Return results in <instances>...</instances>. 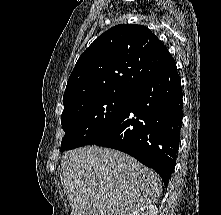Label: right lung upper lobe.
<instances>
[{"label":"right lung upper lobe","instance_id":"obj_1","mask_svg":"<svg viewBox=\"0 0 221 215\" xmlns=\"http://www.w3.org/2000/svg\"><path fill=\"white\" fill-rule=\"evenodd\" d=\"M174 62L164 44L147 27L114 26L78 59L67 82L64 108L99 95H129Z\"/></svg>","mask_w":221,"mask_h":215}]
</instances>
